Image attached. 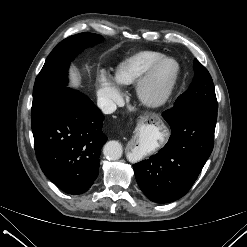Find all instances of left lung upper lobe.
I'll use <instances>...</instances> for the list:
<instances>
[{"mask_svg": "<svg viewBox=\"0 0 247 247\" xmlns=\"http://www.w3.org/2000/svg\"><path fill=\"white\" fill-rule=\"evenodd\" d=\"M194 70L195 75L192 83L188 90L176 99L174 107H178L188 101H200L217 109L218 103L209 72L197 59L194 60Z\"/></svg>", "mask_w": 247, "mask_h": 247, "instance_id": "1", "label": "left lung upper lobe"}]
</instances>
